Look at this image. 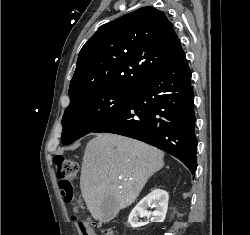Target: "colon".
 Returning a JSON list of instances; mask_svg holds the SVG:
<instances>
[{
  "mask_svg": "<svg viewBox=\"0 0 250 235\" xmlns=\"http://www.w3.org/2000/svg\"><path fill=\"white\" fill-rule=\"evenodd\" d=\"M54 165L56 176L59 180V187L63 195L64 201L68 204H72L78 209H82L81 203L76 200L75 189L73 182L78 177L79 166L78 163L72 159L65 158L63 156L54 157ZM79 227L83 235H93L94 227L98 226L97 222L89 219L79 220ZM112 229H107L105 235H113Z\"/></svg>",
  "mask_w": 250,
  "mask_h": 235,
  "instance_id": "1",
  "label": "colon"
}]
</instances>
